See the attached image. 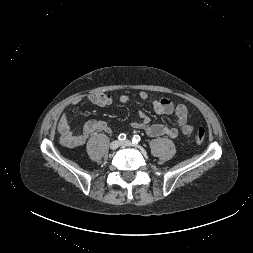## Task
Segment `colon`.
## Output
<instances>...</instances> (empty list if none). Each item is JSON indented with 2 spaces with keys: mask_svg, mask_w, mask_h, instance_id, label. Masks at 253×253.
I'll return each mask as SVG.
<instances>
[{
  "mask_svg": "<svg viewBox=\"0 0 253 253\" xmlns=\"http://www.w3.org/2000/svg\"><path fill=\"white\" fill-rule=\"evenodd\" d=\"M204 139H205V129L200 127L196 132L195 140L197 143H202Z\"/></svg>",
  "mask_w": 253,
  "mask_h": 253,
  "instance_id": "obj_1",
  "label": "colon"
}]
</instances>
